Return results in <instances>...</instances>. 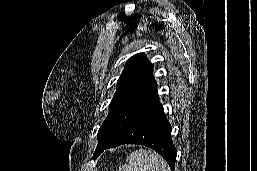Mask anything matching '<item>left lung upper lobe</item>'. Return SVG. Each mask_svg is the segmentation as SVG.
I'll use <instances>...</instances> for the list:
<instances>
[{"label":"left lung upper lobe","instance_id":"obj_1","mask_svg":"<svg viewBox=\"0 0 257 171\" xmlns=\"http://www.w3.org/2000/svg\"><path fill=\"white\" fill-rule=\"evenodd\" d=\"M153 65L144 53L132 56L117 82L109 113L98 131V145L118 136L157 95Z\"/></svg>","mask_w":257,"mask_h":171}]
</instances>
